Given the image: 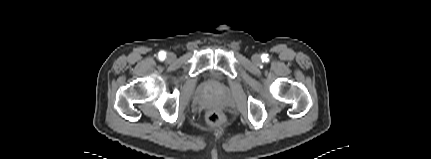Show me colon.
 <instances>
[{"label":"colon","instance_id":"obj_1","mask_svg":"<svg viewBox=\"0 0 431 159\" xmlns=\"http://www.w3.org/2000/svg\"><path fill=\"white\" fill-rule=\"evenodd\" d=\"M206 120L210 125L218 126L221 125L223 122V116L218 111H209L206 114Z\"/></svg>","mask_w":431,"mask_h":159}]
</instances>
